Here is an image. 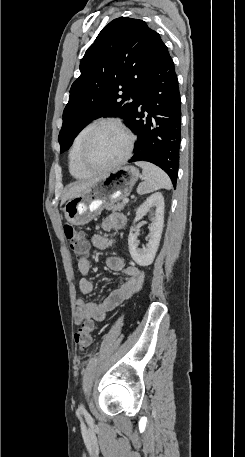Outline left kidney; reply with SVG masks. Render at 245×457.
Wrapping results in <instances>:
<instances>
[{
	"label": "left kidney",
	"mask_w": 245,
	"mask_h": 457,
	"mask_svg": "<svg viewBox=\"0 0 245 457\" xmlns=\"http://www.w3.org/2000/svg\"><path fill=\"white\" fill-rule=\"evenodd\" d=\"M154 208V214L152 218V224L149 226L150 235H148V243L146 247L143 249H138L139 241H137L138 233H134L137 231L138 224H135L137 220H140L144 214L150 212ZM163 222H164V198L161 192H153L151 196L146 198L145 202H142L140 206H138L136 210V216L133 220V226H130V233L128 235V245H129V253L140 267H148V265H152L156 253L158 251L162 229H163Z\"/></svg>",
	"instance_id": "1"
}]
</instances>
